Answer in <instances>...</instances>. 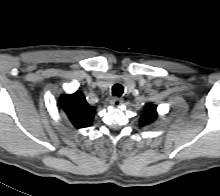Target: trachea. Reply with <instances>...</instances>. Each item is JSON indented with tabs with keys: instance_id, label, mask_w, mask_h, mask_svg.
Masks as SVG:
<instances>
[{
	"instance_id": "obj_1",
	"label": "trachea",
	"mask_w": 220,
	"mask_h": 196,
	"mask_svg": "<svg viewBox=\"0 0 220 196\" xmlns=\"http://www.w3.org/2000/svg\"><path fill=\"white\" fill-rule=\"evenodd\" d=\"M124 92V87L119 84V83H116L113 87H112V94L114 96H117V97H120Z\"/></svg>"
}]
</instances>
